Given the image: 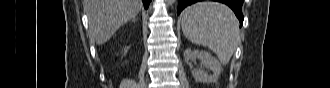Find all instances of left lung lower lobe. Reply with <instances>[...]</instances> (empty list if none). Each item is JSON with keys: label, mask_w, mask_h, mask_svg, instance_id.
Segmentation results:
<instances>
[{"label": "left lung lower lobe", "mask_w": 330, "mask_h": 88, "mask_svg": "<svg viewBox=\"0 0 330 88\" xmlns=\"http://www.w3.org/2000/svg\"><path fill=\"white\" fill-rule=\"evenodd\" d=\"M198 1H200V0H179L178 14H180V12L188 5H191ZM214 1L228 5L234 11L235 15L239 19L240 27L243 25V19H244L243 14H242L243 0H214Z\"/></svg>", "instance_id": "0a47b994"}]
</instances>
